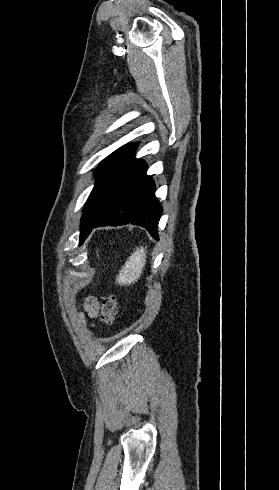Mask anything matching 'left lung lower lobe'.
Segmentation results:
<instances>
[{
	"label": "left lung lower lobe",
	"instance_id": "1",
	"mask_svg": "<svg viewBox=\"0 0 279 490\" xmlns=\"http://www.w3.org/2000/svg\"><path fill=\"white\" fill-rule=\"evenodd\" d=\"M146 171L147 165L140 161L119 191L112 209L87 230L86 238L95 227L132 223L159 239L157 228L163 209L155 197V183Z\"/></svg>",
	"mask_w": 279,
	"mask_h": 490
}]
</instances>
